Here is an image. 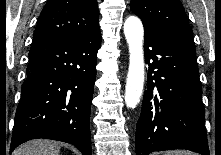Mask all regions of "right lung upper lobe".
<instances>
[{"label":"right lung upper lobe","instance_id":"right-lung-upper-lobe-1","mask_svg":"<svg viewBox=\"0 0 221 155\" xmlns=\"http://www.w3.org/2000/svg\"><path fill=\"white\" fill-rule=\"evenodd\" d=\"M99 30L97 0H49L34 31V41L85 35Z\"/></svg>","mask_w":221,"mask_h":155}]
</instances>
